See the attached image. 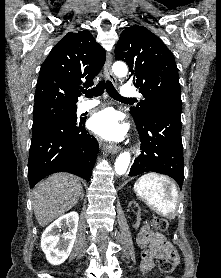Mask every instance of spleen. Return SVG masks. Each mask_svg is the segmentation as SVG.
Segmentation results:
<instances>
[{
	"label": "spleen",
	"instance_id": "obj_1",
	"mask_svg": "<svg viewBox=\"0 0 221 278\" xmlns=\"http://www.w3.org/2000/svg\"><path fill=\"white\" fill-rule=\"evenodd\" d=\"M134 191L159 215L168 219L175 218L178 191L167 177L155 173L142 175L135 183Z\"/></svg>",
	"mask_w": 221,
	"mask_h": 278
}]
</instances>
